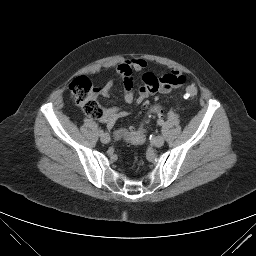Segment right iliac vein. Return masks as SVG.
<instances>
[{"mask_svg":"<svg viewBox=\"0 0 256 256\" xmlns=\"http://www.w3.org/2000/svg\"><path fill=\"white\" fill-rule=\"evenodd\" d=\"M100 140H101L102 143H105V144L109 143V141H110L109 134L104 133L103 135H101Z\"/></svg>","mask_w":256,"mask_h":256,"instance_id":"1","label":"right iliac vein"}]
</instances>
